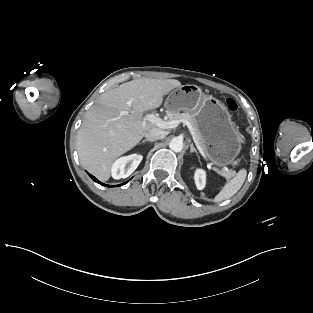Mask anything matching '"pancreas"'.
<instances>
[{"instance_id": "pancreas-1", "label": "pancreas", "mask_w": 313, "mask_h": 313, "mask_svg": "<svg viewBox=\"0 0 313 313\" xmlns=\"http://www.w3.org/2000/svg\"><path fill=\"white\" fill-rule=\"evenodd\" d=\"M169 118L171 120H186V121H188L191 124V126L193 127V131L195 133L196 139L198 140L201 148L205 151L204 145H203V143L201 141V137H200V133H199V130H198V126H197L196 120L190 113H187V112L176 113V114H173V115H169ZM224 175L227 176V177H232L234 175V172L233 171H231V172L227 171V172H224Z\"/></svg>"}]
</instances>
